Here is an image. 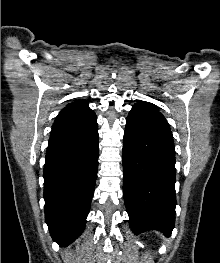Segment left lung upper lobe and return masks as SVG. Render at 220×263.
Here are the masks:
<instances>
[{"label":"left lung upper lobe","mask_w":220,"mask_h":263,"mask_svg":"<svg viewBox=\"0 0 220 263\" xmlns=\"http://www.w3.org/2000/svg\"><path fill=\"white\" fill-rule=\"evenodd\" d=\"M128 118H132L154 129L172 135L169 124L164 116L158 111L156 106L149 102H138L133 105Z\"/></svg>","instance_id":"left-lung-upper-lobe-1"}]
</instances>
